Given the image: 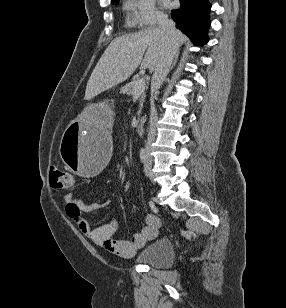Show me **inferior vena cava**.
Segmentation results:
<instances>
[{
	"instance_id": "1",
	"label": "inferior vena cava",
	"mask_w": 286,
	"mask_h": 308,
	"mask_svg": "<svg viewBox=\"0 0 286 308\" xmlns=\"http://www.w3.org/2000/svg\"><path fill=\"white\" fill-rule=\"evenodd\" d=\"M158 28L165 35V48L163 54L158 61L154 73L152 76V92L158 93V90L165 81L173 60L175 58L178 43L176 40L177 30L173 20L168 19L167 16L162 15L158 18ZM158 121V114L154 104V97L151 100V111H150V127L148 131L146 147L149 148L156 136V126Z\"/></svg>"
}]
</instances>
